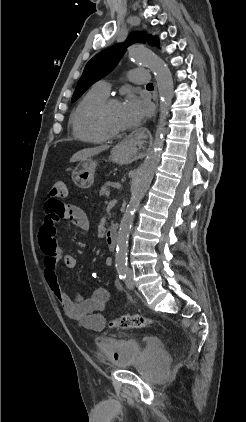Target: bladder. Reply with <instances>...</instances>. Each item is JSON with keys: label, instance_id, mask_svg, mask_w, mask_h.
Returning a JSON list of instances; mask_svg holds the SVG:
<instances>
[{"label": "bladder", "instance_id": "31cf9c89", "mask_svg": "<svg viewBox=\"0 0 246 422\" xmlns=\"http://www.w3.org/2000/svg\"><path fill=\"white\" fill-rule=\"evenodd\" d=\"M100 352L116 367L126 368L138 363L142 345L136 339L108 338L99 344ZM154 364L162 369L169 365L167 352L160 346L151 349Z\"/></svg>", "mask_w": 246, "mask_h": 422}]
</instances>
